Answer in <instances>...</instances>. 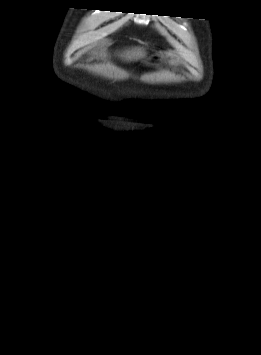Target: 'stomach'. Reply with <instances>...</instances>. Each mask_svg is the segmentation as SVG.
<instances>
[{
    "instance_id": "obj_1",
    "label": "stomach",
    "mask_w": 261,
    "mask_h": 355,
    "mask_svg": "<svg viewBox=\"0 0 261 355\" xmlns=\"http://www.w3.org/2000/svg\"><path fill=\"white\" fill-rule=\"evenodd\" d=\"M147 60L149 63L156 64V65L165 61L178 62V58L175 55L168 54L165 52L155 53L154 55L150 56Z\"/></svg>"
}]
</instances>
